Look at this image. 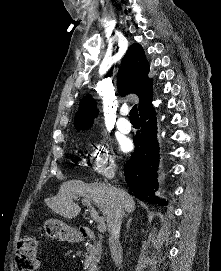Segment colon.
<instances>
[{"label":"colon","instance_id":"obj_1","mask_svg":"<svg viewBox=\"0 0 221 271\" xmlns=\"http://www.w3.org/2000/svg\"><path fill=\"white\" fill-rule=\"evenodd\" d=\"M39 248L38 241L32 236L25 235L18 240L15 258L18 271H36L40 268Z\"/></svg>","mask_w":221,"mask_h":271}]
</instances>
